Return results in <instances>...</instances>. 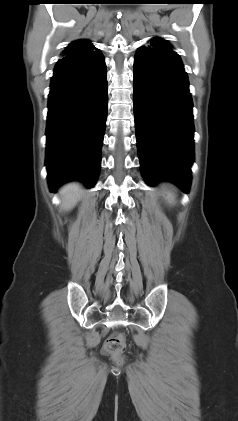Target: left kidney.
<instances>
[{"mask_svg": "<svg viewBox=\"0 0 238 421\" xmlns=\"http://www.w3.org/2000/svg\"><path fill=\"white\" fill-rule=\"evenodd\" d=\"M166 200H167L170 204L174 203V202H175V196H174V194H173V193H171V192H167V197H166Z\"/></svg>", "mask_w": 238, "mask_h": 421, "instance_id": "obj_1", "label": "left kidney"}]
</instances>
